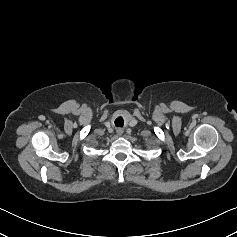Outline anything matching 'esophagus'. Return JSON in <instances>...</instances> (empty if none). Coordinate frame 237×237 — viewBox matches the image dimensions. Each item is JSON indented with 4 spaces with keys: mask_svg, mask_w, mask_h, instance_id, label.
<instances>
[{
    "mask_svg": "<svg viewBox=\"0 0 237 237\" xmlns=\"http://www.w3.org/2000/svg\"><path fill=\"white\" fill-rule=\"evenodd\" d=\"M117 133H118L119 135H121V134H122V130H118Z\"/></svg>",
    "mask_w": 237,
    "mask_h": 237,
    "instance_id": "esophagus-1",
    "label": "esophagus"
}]
</instances>
